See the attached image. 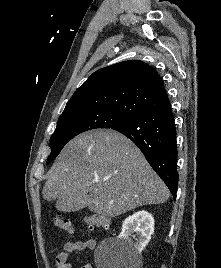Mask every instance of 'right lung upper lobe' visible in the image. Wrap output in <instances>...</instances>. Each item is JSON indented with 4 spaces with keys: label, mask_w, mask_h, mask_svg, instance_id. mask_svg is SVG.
Wrapping results in <instances>:
<instances>
[{
    "label": "right lung upper lobe",
    "mask_w": 221,
    "mask_h": 268,
    "mask_svg": "<svg viewBox=\"0 0 221 268\" xmlns=\"http://www.w3.org/2000/svg\"><path fill=\"white\" fill-rule=\"evenodd\" d=\"M169 105L156 70L142 61L130 60L94 72L75 91L63 113L106 109L131 120Z\"/></svg>",
    "instance_id": "right-lung-upper-lobe-1"
}]
</instances>
